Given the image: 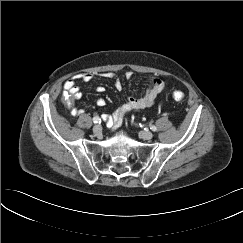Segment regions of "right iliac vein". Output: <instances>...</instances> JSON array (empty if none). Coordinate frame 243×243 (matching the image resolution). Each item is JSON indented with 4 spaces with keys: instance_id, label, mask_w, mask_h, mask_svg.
I'll use <instances>...</instances> for the list:
<instances>
[{
    "instance_id": "obj_1",
    "label": "right iliac vein",
    "mask_w": 243,
    "mask_h": 243,
    "mask_svg": "<svg viewBox=\"0 0 243 243\" xmlns=\"http://www.w3.org/2000/svg\"><path fill=\"white\" fill-rule=\"evenodd\" d=\"M93 132L95 135L99 136L102 133V126L101 125H95L93 127Z\"/></svg>"
}]
</instances>
